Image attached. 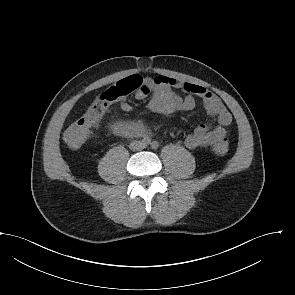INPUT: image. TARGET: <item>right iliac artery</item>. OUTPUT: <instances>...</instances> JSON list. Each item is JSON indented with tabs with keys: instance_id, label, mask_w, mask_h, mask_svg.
<instances>
[{
	"instance_id": "1",
	"label": "right iliac artery",
	"mask_w": 295,
	"mask_h": 295,
	"mask_svg": "<svg viewBox=\"0 0 295 295\" xmlns=\"http://www.w3.org/2000/svg\"><path fill=\"white\" fill-rule=\"evenodd\" d=\"M143 144L149 145L151 143V139L149 137H144L142 139Z\"/></svg>"
}]
</instances>
